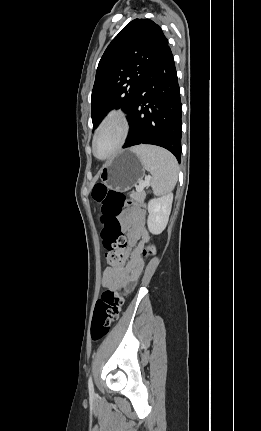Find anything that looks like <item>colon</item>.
<instances>
[{"label":"colon","instance_id":"colon-1","mask_svg":"<svg viewBox=\"0 0 261 431\" xmlns=\"http://www.w3.org/2000/svg\"><path fill=\"white\" fill-rule=\"evenodd\" d=\"M92 197L100 206L102 212L103 229L101 237L106 250L105 258L109 266H118L123 261V250L127 240L124 235L117 216L126 206L137 204L129 201L126 196L113 189H109L103 184H96L92 190ZM155 247L149 246L145 250V255L155 254ZM123 298L113 290H106L97 301L91 324V336L94 341L104 338L110 331L111 326L117 321Z\"/></svg>","mask_w":261,"mask_h":431}]
</instances>
